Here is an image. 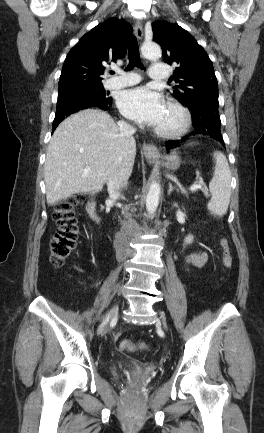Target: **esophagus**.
I'll use <instances>...</instances> for the list:
<instances>
[{
	"instance_id": "obj_1",
	"label": "esophagus",
	"mask_w": 264,
	"mask_h": 433,
	"mask_svg": "<svg viewBox=\"0 0 264 433\" xmlns=\"http://www.w3.org/2000/svg\"><path fill=\"white\" fill-rule=\"evenodd\" d=\"M134 32L138 40L143 38V27L140 21H136L134 26ZM142 151L145 157L149 160H155L159 157V151L154 144L144 143Z\"/></svg>"
}]
</instances>
